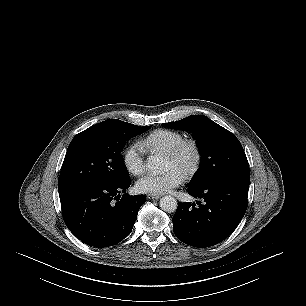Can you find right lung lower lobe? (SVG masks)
Returning a JSON list of instances; mask_svg holds the SVG:
<instances>
[{"instance_id":"1","label":"right lung lower lobe","mask_w":306,"mask_h":306,"mask_svg":"<svg viewBox=\"0 0 306 306\" xmlns=\"http://www.w3.org/2000/svg\"><path fill=\"white\" fill-rule=\"evenodd\" d=\"M130 178L121 183L93 181L59 193L63 219L82 242L94 247L119 243L132 231L144 195L125 193ZM116 200V201H115Z\"/></svg>"}]
</instances>
